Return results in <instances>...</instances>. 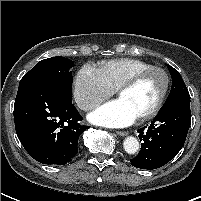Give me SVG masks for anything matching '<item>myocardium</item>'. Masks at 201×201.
<instances>
[{"label": "myocardium", "mask_w": 201, "mask_h": 201, "mask_svg": "<svg viewBox=\"0 0 201 201\" xmlns=\"http://www.w3.org/2000/svg\"><path fill=\"white\" fill-rule=\"evenodd\" d=\"M155 71L162 74L163 80H164L163 87H162L161 93H160L159 98H158L157 102L155 103V105L149 111H147L146 113L139 116L138 117L139 121H146V120H149V119L155 117L162 109L166 96L169 91V87H170V77H169L168 72L162 67L150 66V67L142 69V70L134 73L130 77H128L116 89L117 95L120 96V94L122 92H124L127 89H130L135 84H137L141 79H143L145 76H147L148 74L155 72Z\"/></svg>", "instance_id": "obj_1"}]
</instances>
